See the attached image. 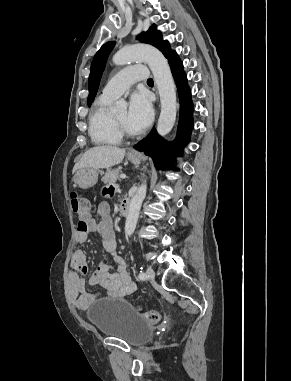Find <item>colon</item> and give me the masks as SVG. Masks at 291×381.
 <instances>
[{"instance_id": "5ec220e1", "label": "colon", "mask_w": 291, "mask_h": 381, "mask_svg": "<svg viewBox=\"0 0 291 381\" xmlns=\"http://www.w3.org/2000/svg\"><path fill=\"white\" fill-rule=\"evenodd\" d=\"M71 208L74 216L79 220L81 230H86L88 222L92 219V206L89 200L73 191L71 192ZM137 310L152 324H158L162 320V314L158 311L144 310L141 307H137Z\"/></svg>"}]
</instances>
